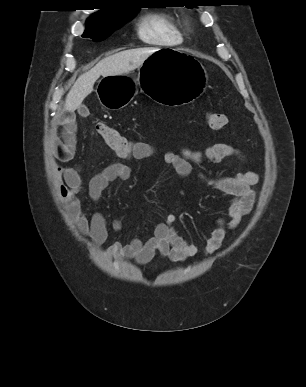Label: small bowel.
<instances>
[{"instance_id":"1","label":"small bowel","mask_w":306,"mask_h":387,"mask_svg":"<svg viewBox=\"0 0 306 387\" xmlns=\"http://www.w3.org/2000/svg\"><path fill=\"white\" fill-rule=\"evenodd\" d=\"M60 129L53 137L52 153L54 157L67 162L73 158L76 146L77 126L74 113L70 112L60 117L55 124ZM158 154L154 143L136 141L132 153L125 157L129 160H146ZM228 157L241 158V152L228 144L218 143L205 148L203 151L182 148L178 152L168 150L162 154L164 163L171 165L177 175L182 178L193 174V166L204 160L221 161ZM58 182L59 196L65 210L80 232L89 237L94 244H104L108 237V223L101 212H95L87 217L81 195L87 194L93 202L102 198L104 191L114 181H126L131 177V167L124 163H112L95 174L88 182L83 183L81 171L76 167L57 166L55 169ZM213 188L229 197L225 214L216 220V227L206 241L204 252L212 254L218 250L227 236L228 230L235 229L242 218L247 215L254 204L255 194L252 187L257 183V174L252 171L240 172L232 176L219 178H204ZM176 213L169 214L166 219L153 228L151 234L145 238H134L129 243L115 242L105 251L112 259H130L140 265L149 263L156 253L171 261L179 262L195 256L198 249L180 236L174 227ZM114 230H121V223H112Z\"/></svg>"}]
</instances>
